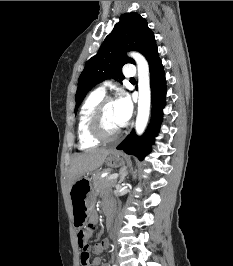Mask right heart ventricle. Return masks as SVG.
<instances>
[{
	"mask_svg": "<svg viewBox=\"0 0 233 266\" xmlns=\"http://www.w3.org/2000/svg\"><path fill=\"white\" fill-rule=\"evenodd\" d=\"M105 93L98 89L92 91L84 100L78 116L77 134L79 145L82 149H89L99 145L100 141L93 138L89 131L92 112Z\"/></svg>",
	"mask_w": 233,
	"mask_h": 266,
	"instance_id": "obj_1",
	"label": "right heart ventricle"
}]
</instances>
